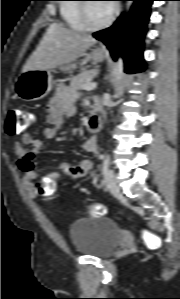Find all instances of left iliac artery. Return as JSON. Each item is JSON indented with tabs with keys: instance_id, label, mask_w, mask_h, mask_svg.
Instances as JSON below:
<instances>
[{
	"instance_id": "obj_1",
	"label": "left iliac artery",
	"mask_w": 180,
	"mask_h": 299,
	"mask_svg": "<svg viewBox=\"0 0 180 299\" xmlns=\"http://www.w3.org/2000/svg\"><path fill=\"white\" fill-rule=\"evenodd\" d=\"M109 168V158L108 156L105 157L103 164H102V174H106Z\"/></svg>"
}]
</instances>
